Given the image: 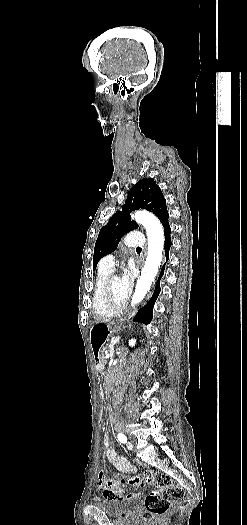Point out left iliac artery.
Wrapping results in <instances>:
<instances>
[{
    "label": "left iliac artery",
    "mask_w": 247,
    "mask_h": 525,
    "mask_svg": "<svg viewBox=\"0 0 247 525\" xmlns=\"http://www.w3.org/2000/svg\"><path fill=\"white\" fill-rule=\"evenodd\" d=\"M117 438H118V440H119L121 443H126V442H127V438H126V436H125L124 434H122V433H118Z\"/></svg>",
    "instance_id": "44dca946"
}]
</instances>
